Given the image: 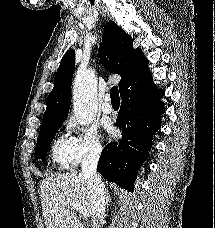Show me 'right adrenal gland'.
Wrapping results in <instances>:
<instances>
[{
  "label": "right adrenal gland",
  "mask_w": 215,
  "mask_h": 228,
  "mask_svg": "<svg viewBox=\"0 0 215 228\" xmlns=\"http://www.w3.org/2000/svg\"><path fill=\"white\" fill-rule=\"evenodd\" d=\"M106 204H107V206H110V198H109V196H107Z\"/></svg>",
  "instance_id": "obj_1"
}]
</instances>
